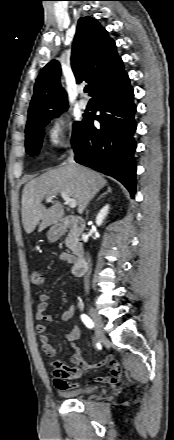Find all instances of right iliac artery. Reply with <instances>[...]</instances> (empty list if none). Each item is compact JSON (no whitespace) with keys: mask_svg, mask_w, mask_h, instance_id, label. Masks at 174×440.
Segmentation results:
<instances>
[{"mask_svg":"<svg viewBox=\"0 0 174 440\" xmlns=\"http://www.w3.org/2000/svg\"><path fill=\"white\" fill-rule=\"evenodd\" d=\"M81 319L88 328L92 329L94 327V323L87 315L82 314Z\"/></svg>","mask_w":174,"mask_h":440,"instance_id":"obj_1","label":"right iliac artery"}]
</instances>
